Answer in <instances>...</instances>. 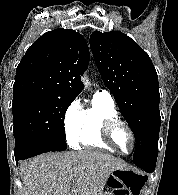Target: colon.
<instances>
[{
	"mask_svg": "<svg viewBox=\"0 0 178 195\" xmlns=\"http://www.w3.org/2000/svg\"><path fill=\"white\" fill-rule=\"evenodd\" d=\"M145 177L138 176L134 179V183L131 185V195H138L139 191L145 184Z\"/></svg>",
	"mask_w": 178,
	"mask_h": 195,
	"instance_id": "obj_1",
	"label": "colon"
}]
</instances>
